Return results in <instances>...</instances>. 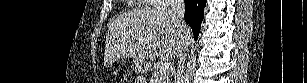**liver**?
<instances>
[{
  "mask_svg": "<svg viewBox=\"0 0 307 83\" xmlns=\"http://www.w3.org/2000/svg\"><path fill=\"white\" fill-rule=\"evenodd\" d=\"M191 29L186 25L181 37L179 27L168 8L134 10L115 19L106 35L104 64L109 67L120 58L145 60L160 57L172 60L191 42Z\"/></svg>",
  "mask_w": 307,
  "mask_h": 83,
  "instance_id": "6515ba94",
  "label": "liver"
}]
</instances>
